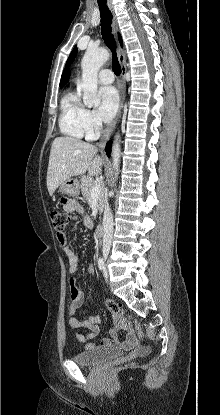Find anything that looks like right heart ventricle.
Segmentation results:
<instances>
[{
    "instance_id": "e07e8e85",
    "label": "right heart ventricle",
    "mask_w": 220,
    "mask_h": 415,
    "mask_svg": "<svg viewBox=\"0 0 220 415\" xmlns=\"http://www.w3.org/2000/svg\"><path fill=\"white\" fill-rule=\"evenodd\" d=\"M85 112L78 93L68 91L60 102L58 123L61 133L76 139L92 138L86 126Z\"/></svg>"
}]
</instances>
